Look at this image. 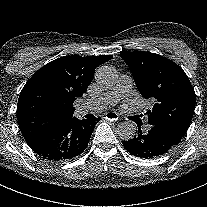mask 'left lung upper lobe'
Instances as JSON below:
<instances>
[{
  "instance_id": "5c2ea615",
  "label": "left lung upper lobe",
  "mask_w": 207,
  "mask_h": 207,
  "mask_svg": "<svg viewBox=\"0 0 207 207\" xmlns=\"http://www.w3.org/2000/svg\"><path fill=\"white\" fill-rule=\"evenodd\" d=\"M136 87L145 99L153 101L148 123L180 141L187 132L195 108L196 95L184 70L161 55L122 52Z\"/></svg>"
}]
</instances>
